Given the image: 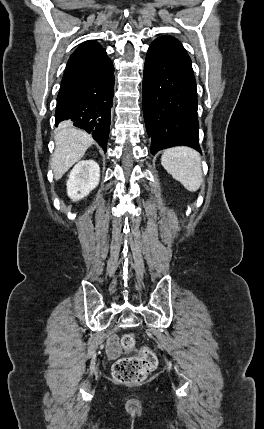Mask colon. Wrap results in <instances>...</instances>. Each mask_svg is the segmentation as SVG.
I'll return each mask as SVG.
<instances>
[{
    "label": "colon",
    "instance_id": "1",
    "mask_svg": "<svg viewBox=\"0 0 264 429\" xmlns=\"http://www.w3.org/2000/svg\"><path fill=\"white\" fill-rule=\"evenodd\" d=\"M121 345L125 351H135V353L114 363L113 378L123 384L141 383L155 370L158 363L157 356L146 347L137 349V339L133 333L125 334L121 339Z\"/></svg>",
    "mask_w": 264,
    "mask_h": 429
}]
</instances>
